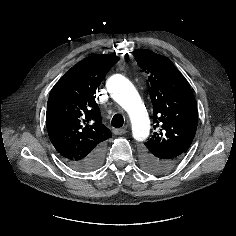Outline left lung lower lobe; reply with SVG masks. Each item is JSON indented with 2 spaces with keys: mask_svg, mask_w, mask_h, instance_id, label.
<instances>
[{
  "mask_svg": "<svg viewBox=\"0 0 236 236\" xmlns=\"http://www.w3.org/2000/svg\"><path fill=\"white\" fill-rule=\"evenodd\" d=\"M182 156L183 154H181L179 151H173L171 153L162 155L157 165V171L153 173H163L170 170L180 161Z\"/></svg>",
  "mask_w": 236,
  "mask_h": 236,
  "instance_id": "left-lung-lower-lobe-1",
  "label": "left lung lower lobe"
}]
</instances>
